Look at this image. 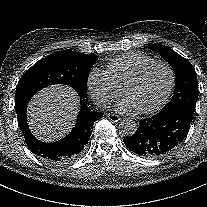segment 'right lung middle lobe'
Returning a JSON list of instances; mask_svg holds the SVG:
<instances>
[{
	"instance_id": "right-lung-middle-lobe-1",
	"label": "right lung middle lobe",
	"mask_w": 207,
	"mask_h": 207,
	"mask_svg": "<svg viewBox=\"0 0 207 207\" xmlns=\"http://www.w3.org/2000/svg\"><path fill=\"white\" fill-rule=\"evenodd\" d=\"M97 59L96 55L67 50L36 62L17 84L15 106L28 102L40 89L53 84L69 85L85 98L89 72Z\"/></svg>"
}]
</instances>
